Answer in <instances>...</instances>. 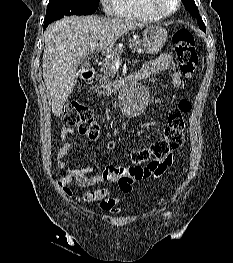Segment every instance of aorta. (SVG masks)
<instances>
[{
  "mask_svg": "<svg viewBox=\"0 0 233 263\" xmlns=\"http://www.w3.org/2000/svg\"><path fill=\"white\" fill-rule=\"evenodd\" d=\"M121 104L129 116L139 115L145 108L146 94L144 88L138 83H131L123 90Z\"/></svg>",
  "mask_w": 233,
  "mask_h": 263,
  "instance_id": "obj_1",
  "label": "aorta"
}]
</instances>
